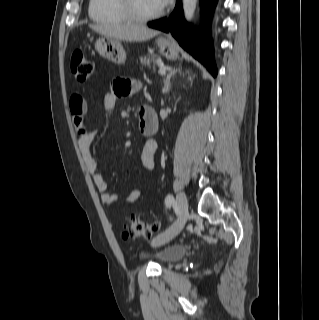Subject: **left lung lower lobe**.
I'll list each match as a JSON object with an SVG mask.
<instances>
[{
    "instance_id": "0a47b994",
    "label": "left lung lower lobe",
    "mask_w": 319,
    "mask_h": 320,
    "mask_svg": "<svg viewBox=\"0 0 319 320\" xmlns=\"http://www.w3.org/2000/svg\"><path fill=\"white\" fill-rule=\"evenodd\" d=\"M201 2L206 23L200 33L187 26L181 0L176 1L175 9L169 18L149 22L148 26L171 33L185 50L203 63L213 76H216L217 68L210 36V19L217 0H201Z\"/></svg>"
}]
</instances>
